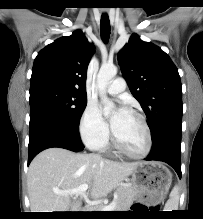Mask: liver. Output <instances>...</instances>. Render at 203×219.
I'll return each instance as SVG.
<instances>
[{
	"instance_id": "6515ba94",
	"label": "liver",
	"mask_w": 203,
	"mask_h": 219,
	"mask_svg": "<svg viewBox=\"0 0 203 219\" xmlns=\"http://www.w3.org/2000/svg\"><path fill=\"white\" fill-rule=\"evenodd\" d=\"M138 163L115 162L95 154L49 148L39 153L28 170L27 186L32 212H77L79 201L58 195L88 184L93 199L105 197L132 174Z\"/></svg>"
}]
</instances>
